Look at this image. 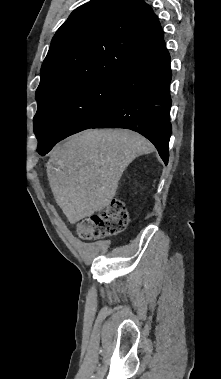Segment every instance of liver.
<instances>
[{"label":"liver","mask_w":221,"mask_h":379,"mask_svg":"<svg viewBox=\"0 0 221 379\" xmlns=\"http://www.w3.org/2000/svg\"><path fill=\"white\" fill-rule=\"evenodd\" d=\"M154 146L123 129L87 130L58 144L47 163L58 206L72 224L106 208L126 167Z\"/></svg>","instance_id":"1"}]
</instances>
